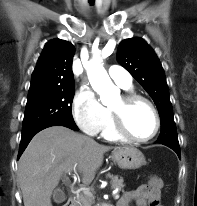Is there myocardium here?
<instances>
[{"label": "myocardium", "instance_id": "1", "mask_svg": "<svg viewBox=\"0 0 197 206\" xmlns=\"http://www.w3.org/2000/svg\"><path fill=\"white\" fill-rule=\"evenodd\" d=\"M121 100H122L121 109H112V108L109 109L113 127L117 132V134L124 139L134 141V142L144 143L152 140L157 135L161 127L160 115L154 103L148 98L136 93H126L122 95ZM138 102L145 103L151 109L155 118L154 130L151 135L145 138H139L132 135L126 126L125 118H124V110L127 109L130 105Z\"/></svg>", "mask_w": 197, "mask_h": 206}]
</instances>
